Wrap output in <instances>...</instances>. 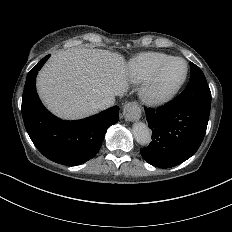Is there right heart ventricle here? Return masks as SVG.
Instances as JSON below:
<instances>
[{"label": "right heart ventricle", "instance_id": "obj_1", "mask_svg": "<svg viewBox=\"0 0 232 232\" xmlns=\"http://www.w3.org/2000/svg\"><path fill=\"white\" fill-rule=\"evenodd\" d=\"M162 52H143L129 58L122 66L121 78L124 83L138 86L156 68L171 59Z\"/></svg>", "mask_w": 232, "mask_h": 232}]
</instances>
